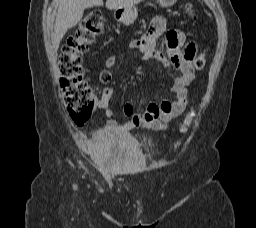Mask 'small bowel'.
I'll use <instances>...</instances> for the list:
<instances>
[{
  "label": "small bowel",
  "instance_id": "c3829d8e",
  "mask_svg": "<svg viewBox=\"0 0 256 228\" xmlns=\"http://www.w3.org/2000/svg\"><path fill=\"white\" fill-rule=\"evenodd\" d=\"M165 31L166 20L161 16H156L151 21L148 30L140 38L131 40L128 47L140 53L143 60L155 59L162 66L173 67L179 71L180 74L174 79L171 87L174 100L148 104L143 106L139 113L134 112L132 104L126 103L123 106V113L128 120L120 123L113 118V112L109 108L113 89L105 87L101 93L100 106L109 120L96 132L97 137L113 132L125 133L135 128L164 130L173 118L184 112L187 105L188 86L195 78L192 61L196 55V46L186 40L183 32L169 30L164 39L166 50L161 51L157 43ZM115 64V56L111 55L106 58L105 69L100 74L101 83L108 84L111 81Z\"/></svg>",
  "mask_w": 256,
  "mask_h": 228
}]
</instances>
